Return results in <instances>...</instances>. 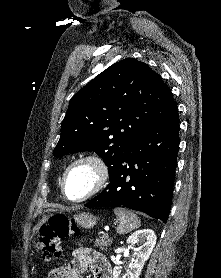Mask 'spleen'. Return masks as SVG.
<instances>
[{
	"label": "spleen",
	"instance_id": "3e777b00",
	"mask_svg": "<svg viewBox=\"0 0 221 278\" xmlns=\"http://www.w3.org/2000/svg\"><path fill=\"white\" fill-rule=\"evenodd\" d=\"M114 213L117 217V221L119 222L116 232L118 234H126L130 231L137 229L141 226L140 218L127 209L115 208Z\"/></svg>",
	"mask_w": 221,
	"mask_h": 278
}]
</instances>
